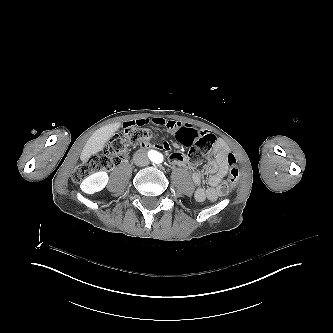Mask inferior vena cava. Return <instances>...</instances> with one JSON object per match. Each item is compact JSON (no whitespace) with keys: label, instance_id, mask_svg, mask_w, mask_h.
<instances>
[{"label":"inferior vena cava","instance_id":"1","mask_svg":"<svg viewBox=\"0 0 333 333\" xmlns=\"http://www.w3.org/2000/svg\"><path fill=\"white\" fill-rule=\"evenodd\" d=\"M133 161L137 166H146L149 164V156L146 150H138L133 156Z\"/></svg>","mask_w":333,"mask_h":333}]
</instances>
